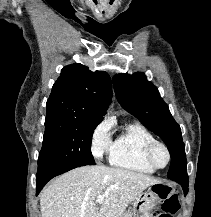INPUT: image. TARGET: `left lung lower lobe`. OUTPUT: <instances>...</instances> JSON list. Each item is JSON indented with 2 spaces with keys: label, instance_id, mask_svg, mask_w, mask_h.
Returning a JSON list of instances; mask_svg holds the SVG:
<instances>
[{
  "label": "left lung lower lobe",
  "instance_id": "1",
  "mask_svg": "<svg viewBox=\"0 0 211 217\" xmlns=\"http://www.w3.org/2000/svg\"><path fill=\"white\" fill-rule=\"evenodd\" d=\"M176 182L182 186V189L184 191V195L186 196V194L188 193V182H186V181H176Z\"/></svg>",
  "mask_w": 211,
  "mask_h": 217
}]
</instances>
